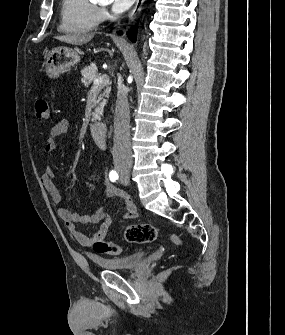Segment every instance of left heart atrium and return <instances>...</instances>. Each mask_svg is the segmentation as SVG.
Segmentation results:
<instances>
[{"label": "left heart atrium", "instance_id": "39dd6f15", "mask_svg": "<svg viewBox=\"0 0 285 335\" xmlns=\"http://www.w3.org/2000/svg\"><path fill=\"white\" fill-rule=\"evenodd\" d=\"M112 5L113 11L120 13L128 9L134 1H106Z\"/></svg>", "mask_w": 285, "mask_h": 335}]
</instances>
